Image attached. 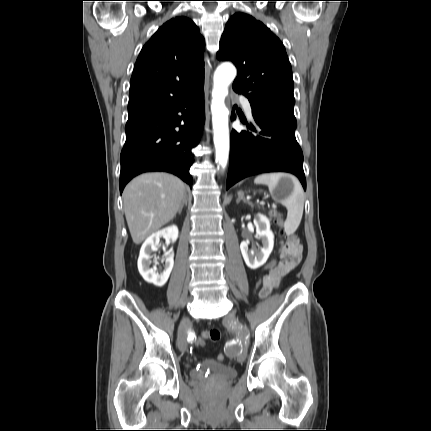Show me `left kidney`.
Masks as SVG:
<instances>
[{"mask_svg":"<svg viewBox=\"0 0 431 431\" xmlns=\"http://www.w3.org/2000/svg\"><path fill=\"white\" fill-rule=\"evenodd\" d=\"M256 237L261 241L262 246L256 250L255 254L248 249V242L240 244V250L246 265L250 269H257L264 265L270 256L274 246V235L270 230V222L266 216L257 214L254 219Z\"/></svg>","mask_w":431,"mask_h":431,"instance_id":"obj_1","label":"left kidney"}]
</instances>
